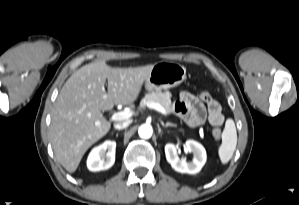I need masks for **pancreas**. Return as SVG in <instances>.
<instances>
[{
	"label": "pancreas",
	"mask_w": 299,
	"mask_h": 205,
	"mask_svg": "<svg viewBox=\"0 0 299 205\" xmlns=\"http://www.w3.org/2000/svg\"><path fill=\"white\" fill-rule=\"evenodd\" d=\"M171 93L169 91L161 92H151L145 95L141 100L140 106L145 107L150 103H158L164 107L168 113H172V102H171Z\"/></svg>",
	"instance_id": "1"
}]
</instances>
